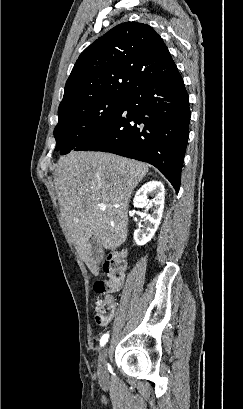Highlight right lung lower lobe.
<instances>
[{"mask_svg":"<svg viewBox=\"0 0 243 409\" xmlns=\"http://www.w3.org/2000/svg\"><path fill=\"white\" fill-rule=\"evenodd\" d=\"M189 97L178 69L142 84L110 124L73 151H103L154 165L178 193L189 136Z\"/></svg>","mask_w":243,"mask_h":409,"instance_id":"right-lung-lower-lobe-1","label":"right lung lower lobe"}]
</instances>
